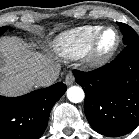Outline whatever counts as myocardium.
I'll use <instances>...</instances> for the list:
<instances>
[{
	"mask_svg": "<svg viewBox=\"0 0 139 139\" xmlns=\"http://www.w3.org/2000/svg\"><path fill=\"white\" fill-rule=\"evenodd\" d=\"M109 30H112L115 32L116 42L111 49H109L108 51H105V52H101L99 50V41H100L102 35ZM120 45H121V34H120L119 30L113 26L103 27L93 37V39L90 43V46L85 54V61H86L87 65L91 68H101V67L105 66L115 56Z\"/></svg>",
	"mask_w": 139,
	"mask_h": 139,
	"instance_id": "obj_1",
	"label": "myocardium"
}]
</instances>
